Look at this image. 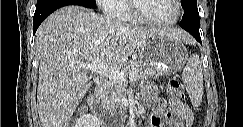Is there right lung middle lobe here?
Instances as JSON below:
<instances>
[{"label": "right lung middle lobe", "mask_w": 243, "mask_h": 127, "mask_svg": "<svg viewBox=\"0 0 243 127\" xmlns=\"http://www.w3.org/2000/svg\"><path fill=\"white\" fill-rule=\"evenodd\" d=\"M38 1H40V0H38ZM88 4H90V6L92 7V8H95L96 7V2L94 1V0H85Z\"/></svg>", "instance_id": "dd1d6c3e"}]
</instances>
